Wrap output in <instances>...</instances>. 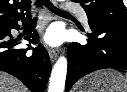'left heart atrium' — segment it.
I'll list each match as a JSON object with an SVG mask.
<instances>
[{
	"mask_svg": "<svg viewBox=\"0 0 127 92\" xmlns=\"http://www.w3.org/2000/svg\"><path fill=\"white\" fill-rule=\"evenodd\" d=\"M62 40V33L60 29L56 27L50 28L45 36H44V42L50 45H58Z\"/></svg>",
	"mask_w": 127,
	"mask_h": 92,
	"instance_id": "left-heart-atrium-1",
	"label": "left heart atrium"
}]
</instances>
